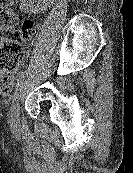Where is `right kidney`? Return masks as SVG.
Wrapping results in <instances>:
<instances>
[{
  "mask_svg": "<svg viewBox=\"0 0 133 173\" xmlns=\"http://www.w3.org/2000/svg\"><path fill=\"white\" fill-rule=\"evenodd\" d=\"M20 1H21L20 5L21 10L36 13L38 11V8L42 6V4L47 5L48 1L53 2L54 0H20Z\"/></svg>",
  "mask_w": 133,
  "mask_h": 173,
  "instance_id": "1",
  "label": "right kidney"
}]
</instances>
